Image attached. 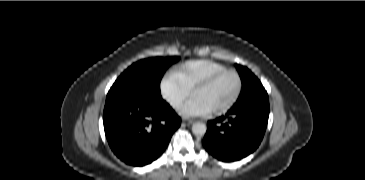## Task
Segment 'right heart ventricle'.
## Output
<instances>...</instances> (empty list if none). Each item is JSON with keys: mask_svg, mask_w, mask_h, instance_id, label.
Segmentation results:
<instances>
[{"mask_svg": "<svg viewBox=\"0 0 365 180\" xmlns=\"http://www.w3.org/2000/svg\"><path fill=\"white\" fill-rule=\"evenodd\" d=\"M225 69H227L225 65L213 61L192 62L180 70V83L191 92L203 81Z\"/></svg>", "mask_w": 365, "mask_h": 180, "instance_id": "e07e8e85", "label": "right heart ventricle"}]
</instances>
